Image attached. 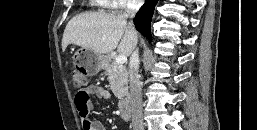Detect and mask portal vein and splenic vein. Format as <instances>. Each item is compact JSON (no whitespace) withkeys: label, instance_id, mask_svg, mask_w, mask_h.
<instances>
[{"label":"portal vein and splenic vein","instance_id":"1","mask_svg":"<svg viewBox=\"0 0 257 130\" xmlns=\"http://www.w3.org/2000/svg\"><path fill=\"white\" fill-rule=\"evenodd\" d=\"M127 61V57L123 55H119L116 57V63L122 65Z\"/></svg>","mask_w":257,"mask_h":130}]
</instances>
